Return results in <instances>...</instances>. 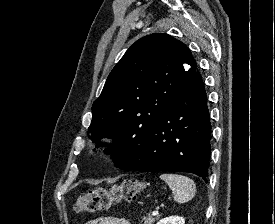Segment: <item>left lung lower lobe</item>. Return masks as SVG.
Masks as SVG:
<instances>
[{
	"label": "left lung lower lobe",
	"instance_id": "obj_1",
	"mask_svg": "<svg viewBox=\"0 0 275 224\" xmlns=\"http://www.w3.org/2000/svg\"><path fill=\"white\" fill-rule=\"evenodd\" d=\"M210 140L206 91L196 72L153 126L136 159L122 170L188 172L207 182Z\"/></svg>",
	"mask_w": 275,
	"mask_h": 224
}]
</instances>
